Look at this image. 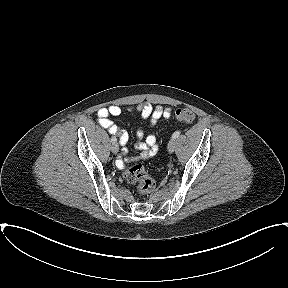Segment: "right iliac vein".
<instances>
[{"instance_id":"obj_1","label":"right iliac vein","mask_w":288,"mask_h":288,"mask_svg":"<svg viewBox=\"0 0 288 288\" xmlns=\"http://www.w3.org/2000/svg\"><path fill=\"white\" fill-rule=\"evenodd\" d=\"M111 151L116 154L119 152V145L117 142L112 143L111 145Z\"/></svg>"}]
</instances>
